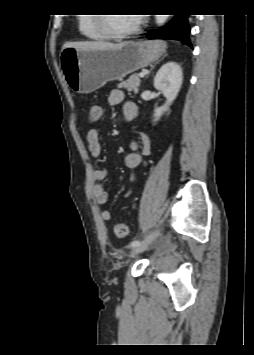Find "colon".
Here are the masks:
<instances>
[{"instance_id":"colon-1","label":"colon","mask_w":254,"mask_h":355,"mask_svg":"<svg viewBox=\"0 0 254 355\" xmlns=\"http://www.w3.org/2000/svg\"><path fill=\"white\" fill-rule=\"evenodd\" d=\"M88 120L94 123L99 120L102 114V108L98 104H92L87 107ZM114 233L119 238L127 237L129 234L128 226L125 223L117 222L114 224Z\"/></svg>"}]
</instances>
